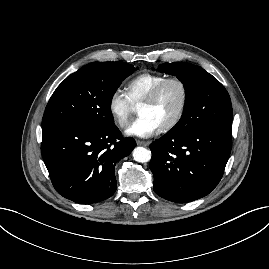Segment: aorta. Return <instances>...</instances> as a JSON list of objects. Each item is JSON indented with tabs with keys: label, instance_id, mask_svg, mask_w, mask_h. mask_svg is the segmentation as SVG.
I'll return each instance as SVG.
<instances>
[{
	"label": "aorta",
	"instance_id": "1",
	"mask_svg": "<svg viewBox=\"0 0 269 269\" xmlns=\"http://www.w3.org/2000/svg\"><path fill=\"white\" fill-rule=\"evenodd\" d=\"M134 160L140 163H145L151 159V151L144 147H136L133 150Z\"/></svg>",
	"mask_w": 269,
	"mask_h": 269
}]
</instances>
